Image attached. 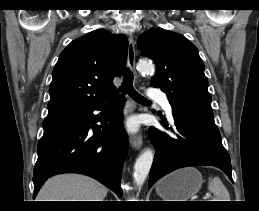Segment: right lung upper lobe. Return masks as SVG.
<instances>
[{"label": "right lung upper lobe", "mask_w": 259, "mask_h": 211, "mask_svg": "<svg viewBox=\"0 0 259 211\" xmlns=\"http://www.w3.org/2000/svg\"><path fill=\"white\" fill-rule=\"evenodd\" d=\"M128 40L105 30L72 41L60 54L49 88L47 118L87 110L116 97Z\"/></svg>", "instance_id": "obj_1"}]
</instances>
